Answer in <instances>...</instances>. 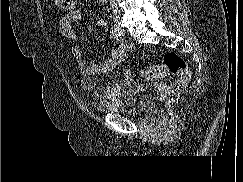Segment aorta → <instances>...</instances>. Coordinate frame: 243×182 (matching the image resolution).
<instances>
[{"mask_svg":"<svg viewBox=\"0 0 243 182\" xmlns=\"http://www.w3.org/2000/svg\"><path fill=\"white\" fill-rule=\"evenodd\" d=\"M106 1H107V0H100V2H102V3H106Z\"/></svg>","mask_w":243,"mask_h":182,"instance_id":"762f6f07","label":"aorta"}]
</instances>
